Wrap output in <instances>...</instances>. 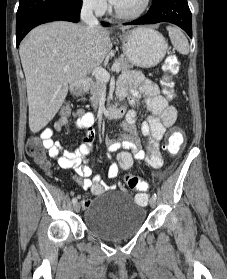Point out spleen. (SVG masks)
<instances>
[{"mask_svg":"<svg viewBox=\"0 0 227 279\" xmlns=\"http://www.w3.org/2000/svg\"><path fill=\"white\" fill-rule=\"evenodd\" d=\"M167 30L171 43L176 50L183 55H187L189 52V43L184 34L177 27L168 26Z\"/></svg>","mask_w":227,"mask_h":279,"instance_id":"3e777b00","label":"spleen"}]
</instances>
